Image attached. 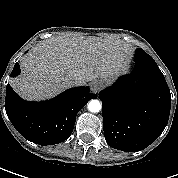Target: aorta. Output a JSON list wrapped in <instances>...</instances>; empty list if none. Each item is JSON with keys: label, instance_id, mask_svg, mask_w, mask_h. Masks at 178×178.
Here are the masks:
<instances>
[{"label": "aorta", "instance_id": "762f6f07", "mask_svg": "<svg viewBox=\"0 0 178 178\" xmlns=\"http://www.w3.org/2000/svg\"><path fill=\"white\" fill-rule=\"evenodd\" d=\"M88 110L92 113H97L101 110V103L97 99H93L88 103Z\"/></svg>", "mask_w": 178, "mask_h": 178}]
</instances>
